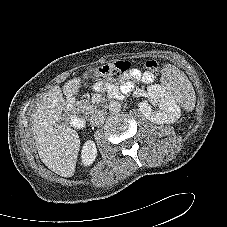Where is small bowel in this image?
Instances as JSON below:
<instances>
[{
    "label": "small bowel",
    "instance_id": "small-bowel-1",
    "mask_svg": "<svg viewBox=\"0 0 227 227\" xmlns=\"http://www.w3.org/2000/svg\"><path fill=\"white\" fill-rule=\"evenodd\" d=\"M132 76H133L135 79H138V80L142 79V80H144V81H149V80L152 79V78H149V79L145 78V76H144V75L142 76L141 73H140V71H138V70H133V71H132ZM96 87H97V89L102 90V89H104V84H103V83H98V84L96 85Z\"/></svg>",
    "mask_w": 227,
    "mask_h": 227
}]
</instances>
